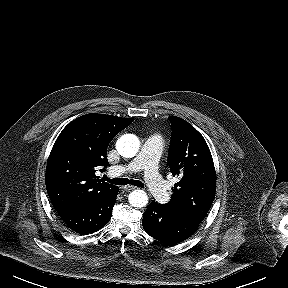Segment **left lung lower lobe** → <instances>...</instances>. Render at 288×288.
Here are the masks:
<instances>
[{
	"mask_svg": "<svg viewBox=\"0 0 288 288\" xmlns=\"http://www.w3.org/2000/svg\"><path fill=\"white\" fill-rule=\"evenodd\" d=\"M142 224L154 239L165 245H174L189 238L200 223L153 200L144 212Z\"/></svg>",
	"mask_w": 288,
	"mask_h": 288,
	"instance_id": "1",
	"label": "left lung lower lobe"
}]
</instances>
